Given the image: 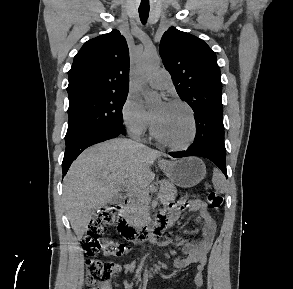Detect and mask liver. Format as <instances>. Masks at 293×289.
<instances>
[{
	"label": "liver",
	"instance_id": "1",
	"mask_svg": "<svg viewBox=\"0 0 293 289\" xmlns=\"http://www.w3.org/2000/svg\"><path fill=\"white\" fill-rule=\"evenodd\" d=\"M164 153L139 142L112 139L87 148L64 178L63 203L81 239L95 210L118 197L121 186L143 190L154 179L152 166Z\"/></svg>",
	"mask_w": 293,
	"mask_h": 289
}]
</instances>
